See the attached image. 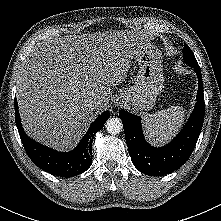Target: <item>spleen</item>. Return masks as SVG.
Masks as SVG:
<instances>
[{
    "label": "spleen",
    "instance_id": "spleen-1",
    "mask_svg": "<svg viewBox=\"0 0 221 221\" xmlns=\"http://www.w3.org/2000/svg\"><path fill=\"white\" fill-rule=\"evenodd\" d=\"M185 110L180 106H171L154 114H144L146 136L153 143H164L181 127Z\"/></svg>",
    "mask_w": 221,
    "mask_h": 221
}]
</instances>
